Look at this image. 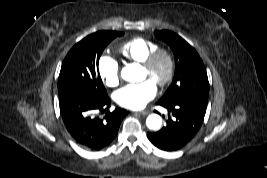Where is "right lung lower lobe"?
<instances>
[{
	"mask_svg": "<svg viewBox=\"0 0 267 178\" xmlns=\"http://www.w3.org/2000/svg\"><path fill=\"white\" fill-rule=\"evenodd\" d=\"M60 112L64 124L81 147L99 151L115 139L121 120L127 111L116 108L110 112V99L87 92H68L59 96ZM105 113L104 117L100 114Z\"/></svg>",
	"mask_w": 267,
	"mask_h": 178,
	"instance_id": "98d812e1",
	"label": "right lung lower lobe"
}]
</instances>
